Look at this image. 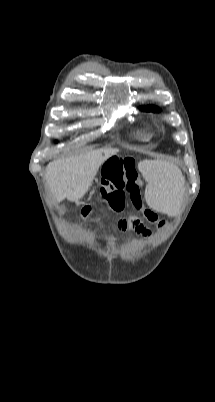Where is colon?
I'll use <instances>...</instances> for the list:
<instances>
[{
    "label": "colon",
    "mask_w": 215,
    "mask_h": 402,
    "mask_svg": "<svg viewBox=\"0 0 215 402\" xmlns=\"http://www.w3.org/2000/svg\"><path fill=\"white\" fill-rule=\"evenodd\" d=\"M101 177L104 179L100 191V200L112 211H120L124 207L125 193H128L133 205L143 213L144 217L158 224L160 228L164 223L159 221L153 211L144 206L142 197L143 182L136 168L133 156H109L104 161ZM92 209H82V216L87 219L91 216ZM140 221L134 217L120 220V229H133Z\"/></svg>",
    "instance_id": "colon-1"
}]
</instances>
